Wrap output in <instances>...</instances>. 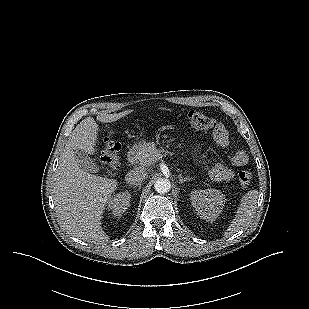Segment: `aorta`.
<instances>
[{"mask_svg":"<svg viewBox=\"0 0 309 309\" xmlns=\"http://www.w3.org/2000/svg\"><path fill=\"white\" fill-rule=\"evenodd\" d=\"M154 187L158 193L164 194L169 192V190L171 189V183L168 179L160 178L155 182Z\"/></svg>","mask_w":309,"mask_h":309,"instance_id":"obj_1","label":"aorta"}]
</instances>
